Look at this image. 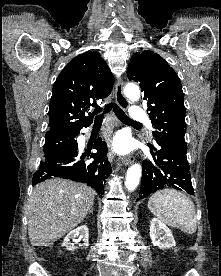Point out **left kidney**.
<instances>
[{"label": "left kidney", "mask_w": 221, "mask_h": 276, "mask_svg": "<svg viewBox=\"0 0 221 276\" xmlns=\"http://www.w3.org/2000/svg\"><path fill=\"white\" fill-rule=\"evenodd\" d=\"M150 238L153 245L161 249H168L176 245L171 230L157 218L151 219Z\"/></svg>", "instance_id": "5707ae66"}]
</instances>
